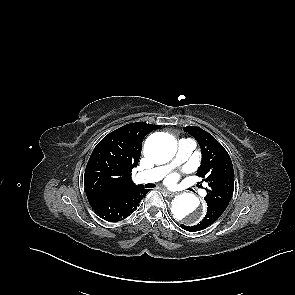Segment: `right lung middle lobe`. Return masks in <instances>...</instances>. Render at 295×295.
I'll use <instances>...</instances> for the list:
<instances>
[{
    "mask_svg": "<svg viewBox=\"0 0 295 295\" xmlns=\"http://www.w3.org/2000/svg\"><path fill=\"white\" fill-rule=\"evenodd\" d=\"M117 177V167L102 156H90L84 175L86 194H102Z\"/></svg>",
    "mask_w": 295,
    "mask_h": 295,
    "instance_id": "obj_1",
    "label": "right lung middle lobe"
}]
</instances>
